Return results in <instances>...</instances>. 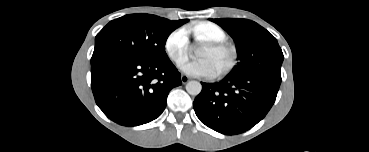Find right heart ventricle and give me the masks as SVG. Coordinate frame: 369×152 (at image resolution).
I'll list each match as a JSON object with an SVG mask.
<instances>
[{
    "label": "right heart ventricle",
    "mask_w": 369,
    "mask_h": 152,
    "mask_svg": "<svg viewBox=\"0 0 369 152\" xmlns=\"http://www.w3.org/2000/svg\"><path fill=\"white\" fill-rule=\"evenodd\" d=\"M187 33L203 42L225 41V31L217 24L210 21H200L187 28Z\"/></svg>",
    "instance_id": "e07e8e85"
}]
</instances>
